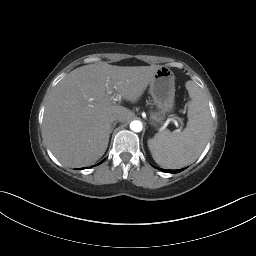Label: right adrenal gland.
Segmentation results:
<instances>
[{
  "label": "right adrenal gland",
  "mask_w": 256,
  "mask_h": 256,
  "mask_svg": "<svg viewBox=\"0 0 256 256\" xmlns=\"http://www.w3.org/2000/svg\"><path fill=\"white\" fill-rule=\"evenodd\" d=\"M117 122H114L111 128V132L114 130L115 126H116Z\"/></svg>",
  "instance_id": "right-adrenal-gland-1"
}]
</instances>
